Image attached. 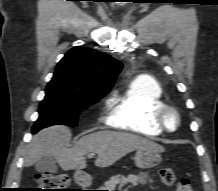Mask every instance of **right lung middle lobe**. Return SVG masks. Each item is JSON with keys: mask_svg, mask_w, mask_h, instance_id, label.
Masks as SVG:
<instances>
[{"mask_svg": "<svg viewBox=\"0 0 218 191\" xmlns=\"http://www.w3.org/2000/svg\"><path fill=\"white\" fill-rule=\"evenodd\" d=\"M106 94H86L67 87L60 80L52 78L46 87L45 98L39 106V118L32 132L56 124L76 127L81 111L98 102Z\"/></svg>", "mask_w": 218, "mask_h": 191, "instance_id": "1", "label": "right lung middle lobe"}]
</instances>
